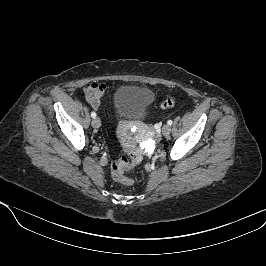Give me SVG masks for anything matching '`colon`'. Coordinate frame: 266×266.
<instances>
[{"label": "colon", "mask_w": 266, "mask_h": 266, "mask_svg": "<svg viewBox=\"0 0 266 266\" xmlns=\"http://www.w3.org/2000/svg\"><path fill=\"white\" fill-rule=\"evenodd\" d=\"M175 99L166 96L162 100V107L167 109L175 105ZM124 150L127 156H123L111 163V176L112 178L124 185L133 184V180L126 176V173L133 170L141 161L142 153L131 146H125Z\"/></svg>", "instance_id": "obj_1"}]
</instances>
